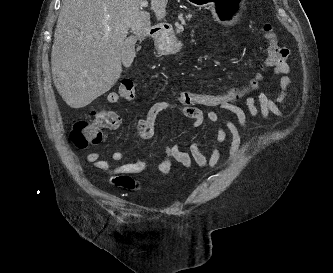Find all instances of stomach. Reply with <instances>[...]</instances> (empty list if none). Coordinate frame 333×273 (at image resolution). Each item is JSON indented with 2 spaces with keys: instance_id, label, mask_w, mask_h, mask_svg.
<instances>
[{
  "instance_id": "obj_1",
  "label": "stomach",
  "mask_w": 333,
  "mask_h": 273,
  "mask_svg": "<svg viewBox=\"0 0 333 273\" xmlns=\"http://www.w3.org/2000/svg\"><path fill=\"white\" fill-rule=\"evenodd\" d=\"M191 5L198 8L210 7L212 19H222L227 23L228 32H239L247 23L245 12H236L241 10L245 0H187ZM154 44L157 51L164 55L175 54L182 48V42L176 37L173 30L168 27H162L154 38Z\"/></svg>"
}]
</instances>
